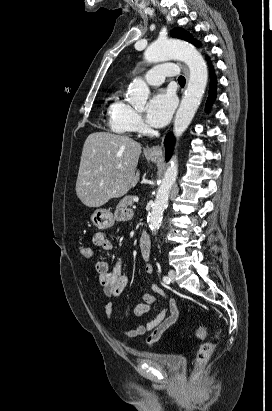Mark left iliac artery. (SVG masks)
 <instances>
[{"label":"left iliac artery","instance_id":"left-iliac-artery-1","mask_svg":"<svg viewBox=\"0 0 272 411\" xmlns=\"http://www.w3.org/2000/svg\"><path fill=\"white\" fill-rule=\"evenodd\" d=\"M170 281H171V280H170L169 277H167V276H164V277H163V282H164V283L169 284Z\"/></svg>","mask_w":272,"mask_h":411}]
</instances>
